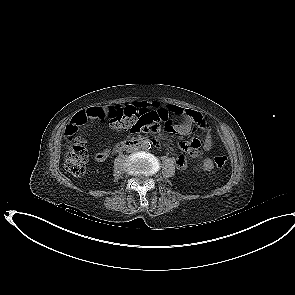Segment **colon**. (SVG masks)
Returning <instances> with one entry per match:
<instances>
[{
	"label": "colon",
	"instance_id": "obj_1",
	"mask_svg": "<svg viewBox=\"0 0 295 295\" xmlns=\"http://www.w3.org/2000/svg\"><path fill=\"white\" fill-rule=\"evenodd\" d=\"M101 109V115L106 116L113 127L127 129L131 133H156L160 130L161 124L167 120V112L164 110L148 112L133 105L109 106ZM171 128V124L167 123L166 129ZM66 135V169L73 176H82L86 171L87 143L77 135V127L72 125L67 126ZM213 162L216 167L223 168L227 163V156L217 154Z\"/></svg>",
	"mask_w": 295,
	"mask_h": 295
}]
</instances>
